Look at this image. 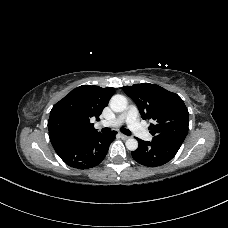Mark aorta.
Wrapping results in <instances>:
<instances>
[{
	"instance_id": "1",
	"label": "aorta",
	"mask_w": 228,
	"mask_h": 228,
	"mask_svg": "<svg viewBox=\"0 0 228 228\" xmlns=\"http://www.w3.org/2000/svg\"><path fill=\"white\" fill-rule=\"evenodd\" d=\"M127 99L123 95H114L110 100V108L114 112H122L127 108ZM126 147L130 151H135L138 148V141L134 138H129L125 143Z\"/></svg>"
}]
</instances>
